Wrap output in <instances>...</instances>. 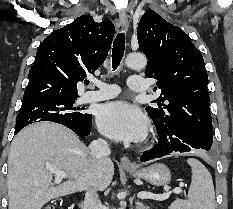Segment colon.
<instances>
[{
	"label": "colon",
	"mask_w": 233,
	"mask_h": 209,
	"mask_svg": "<svg viewBox=\"0 0 233 209\" xmlns=\"http://www.w3.org/2000/svg\"><path fill=\"white\" fill-rule=\"evenodd\" d=\"M43 209H56V207L54 205H47Z\"/></svg>",
	"instance_id": "5ec220e1"
}]
</instances>
